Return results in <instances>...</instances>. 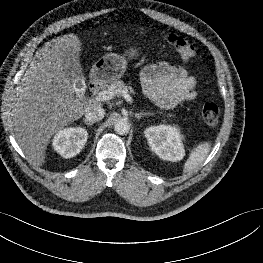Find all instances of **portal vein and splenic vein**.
<instances>
[{"instance_id":"18ae733b","label":"portal vein and splenic vein","mask_w":263,"mask_h":263,"mask_svg":"<svg viewBox=\"0 0 263 263\" xmlns=\"http://www.w3.org/2000/svg\"><path fill=\"white\" fill-rule=\"evenodd\" d=\"M114 96H115L114 93L109 90H103L98 93V97L102 101L111 100L114 98ZM122 96L126 99V101L132 102V98L127 92H123Z\"/></svg>"}]
</instances>
